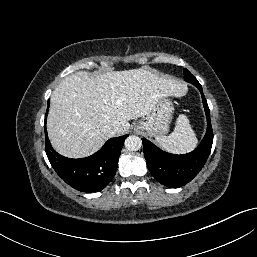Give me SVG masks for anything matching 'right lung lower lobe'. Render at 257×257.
<instances>
[{
  "label": "right lung lower lobe",
  "instance_id": "98d812e1",
  "mask_svg": "<svg viewBox=\"0 0 257 257\" xmlns=\"http://www.w3.org/2000/svg\"><path fill=\"white\" fill-rule=\"evenodd\" d=\"M48 108L44 123L45 150L56 173L67 184L79 191L91 193L105 188L116 173L121 149L128 135L109 139L98 152L89 157L81 159L63 157L52 148L47 136Z\"/></svg>",
  "mask_w": 257,
  "mask_h": 257
}]
</instances>
